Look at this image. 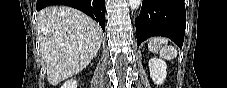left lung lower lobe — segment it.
I'll use <instances>...</instances> for the list:
<instances>
[{
    "label": "left lung lower lobe",
    "mask_w": 227,
    "mask_h": 88,
    "mask_svg": "<svg viewBox=\"0 0 227 88\" xmlns=\"http://www.w3.org/2000/svg\"><path fill=\"white\" fill-rule=\"evenodd\" d=\"M135 26L137 45L151 36H165L182 48L186 27L184 0H143Z\"/></svg>",
    "instance_id": "0a47b994"
}]
</instances>
